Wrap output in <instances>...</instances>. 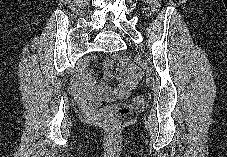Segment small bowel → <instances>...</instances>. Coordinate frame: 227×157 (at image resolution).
Instances as JSON below:
<instances>
[{"mask_svg": "<svg viewBox=\"0 0 227 157\" xmlns=\"http://www.w3.org/2000/svg\"><path fill=\"white\" fill-rule=\"evenodd\" d=\"M116 58L108 59L104 66V82L97 84L88 70H83L79 77L72 83L71 90L74 97L86 107H94L104 99H122L128 95L136 84L138 70L127 63H123L115 72L112 68ZM116 78L119 85L112 88L107 83Z\"/></svg>", "mask_w": 227, "mask_h": 157, "instance_id": "obj_1", "label": "small bowel"}]
</instances>
